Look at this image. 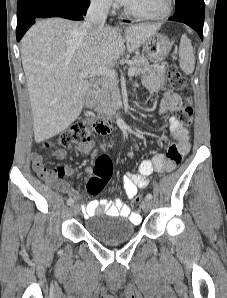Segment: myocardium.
<instances>
[{"mask_svg": "<svg viewBox=\"0 0 227 298\" xmlns=\"http://www.w3.org/2000/svg\"><path fill=\"white\" fill-rule=\"evenodd\" d=\"M173 9V0H165V7L164 9L158 13L153 15H144L136 13L126 6L124 7V13L133 19L140 20V21H160L170 16Z\"/></svg>", "mask_w": 227, "mask_h": 298, "instance_id": "f54148a6", "label": "myocardium"}]
</instances>
